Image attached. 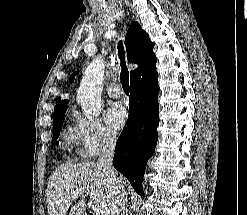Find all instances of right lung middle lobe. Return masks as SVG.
Here are the masks:
<instances>
[{
    "mask_svg": "<svg viewBox=\"0 0 247 215\" xmlns=\"http://www.w3.org/2000/svg\"><path fill=\"white\" fill-rule=\"evenodd\" d=\"M65 111L55 114L53 116V138L56 140L59 136L60 130L62 129L64 121Z\"/></svg>",
    "mask_w": 247,
    "mask_h": 215,
    "instance_id": "dd1d6c3e",
    "label": "right lung middle lobe"
}]
</instances>
